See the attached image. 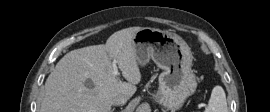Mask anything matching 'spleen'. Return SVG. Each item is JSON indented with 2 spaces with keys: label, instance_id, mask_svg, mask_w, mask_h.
<instances>
[{
  "label": "spleen",
  "instance_id": "obj_1",
  "mask_svg": "<svg viewBox=\"0 0 270 112\" xmlns=\"http://www.w3.org/2000/svg\"><path fill=\"white\" fill-rule=\"evenodd\" d=\"M204 112H228L226 95L221 86L213 88L208 107Z\"/></svg>",
  "mask_w": 270,
  "mask_h": 112
}]
</instances>
